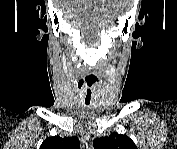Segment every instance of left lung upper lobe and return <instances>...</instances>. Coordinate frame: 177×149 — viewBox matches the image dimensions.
I'll return each instance as SVG.
<instances>
[{
    "label": "left lung upper lobe",
    "instance_id": "1",
    "mask_svg": "<svg viewBox=\"0 0 177 149\" xmlns=\"http://www.w3.org/2000/svg\"><path fill=\"white\" fill-rule=\"evenodd\" d=\"M95 149H136L134 142L123 134L113 132L110 136L93 141Z\"/></svg>",
    "mask_w": 177,
    "mask_h": 149
}]
</instances>
